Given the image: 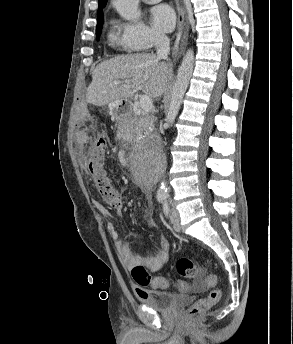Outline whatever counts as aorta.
<instances>
[{
    "instance_id": "obj_1",
    "label": "aorta",
    "mask_w": 293,
    "mask_h": 344,
    "mask_svg": "<svg viewBox=\"0 0 293 344\" xmlns=\"http://www.w3.org/2000/svg\"><path fill=\"white\" fill-rule=\"evenodd\" d=\"M114 7L119 15L128 21H136L140 17L138 10L139 0H114ZM194 68V51L187 50L181 65L178 68L176 82L171 91V98L168 111L166 113V124L172 126L180 110L184 94L188 88L189 81ZM158 194L166 196L168 188L165 181L161 183Z\"/></svg>"
}]
</instances>
